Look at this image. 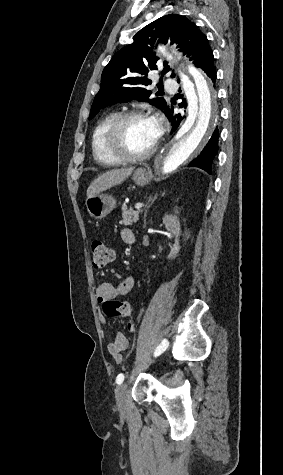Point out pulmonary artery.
<instances>
[{"label": "pulmonary artery", "instance_id": "pulmonary-artery-1", "mask_svg": "<svg viewBox=\"0 0 283 475\" xmlns=\"http://www.w3.org/2000/svg\"><path fill=\"white\" fill-rule=\"evenodd\" d=\"M167 86H168V84H165V87H167ZM169 86H170L171 88L168 89V94H169V95H174V94H175V88H176L175 82H173V81L170 82Z\"/></svg>", "mask_w": 283, "mask_h": 475}]
</instances>
